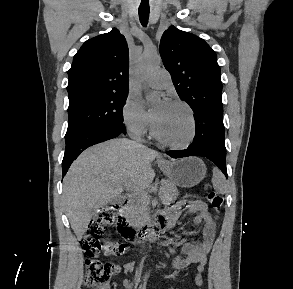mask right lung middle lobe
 I'll use <instances>...</instances> for the list:
<instances>
[{
	"label": "right lung middle lobe",
	"instance_id": "right-lung-middle-lobe-1",
	"mask_svg": "<svg viewBox=\"0 0 293 289\" xmlns=\"http://www.w3.org/2000/svg\"><path fill=\"white\" fill-rule=\"evenodd\" d=\"M128 93L84 96L69 101L65 140L92 127L123 123V106Z\"/></svg>",
	"mask_w": 293,
	"mask_h": 289
}]
</instances>
